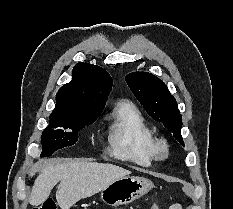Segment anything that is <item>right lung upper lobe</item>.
Returning a JSON list of instances; mask_svg holds the SVG:
<instances>
[{"label":"right lung upper lobe","mask_w":233,"mask_h":209,"mask_svg":"<svg viewBox=\"0 0 233 209\" xmlns=\"http://www.w3.org/2000/svg\"><path fill=\"white\" fill-rule=\"evenodd\" d=\"M112 85L111 76L103 68L79 62L73 68L72 81L57 92L51 115L77 109L103 110Z\"/></svg>","instance_id":"1"}]
</instances>
